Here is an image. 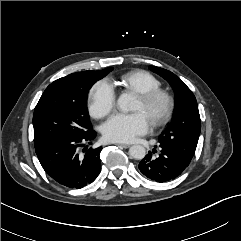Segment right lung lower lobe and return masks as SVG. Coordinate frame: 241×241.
Masks as SVG:
<instances>
[{"label": "right lung lower lobe", "instance_id": "98d812e1", "mask_svg": "<svg viewBox=\"0 0 241 241\" xmlns=\"http://www.w3.org/2000/svg\"><path fill=\"white\" fill-rule=\"evenodd\" d=\"M96 133L91 130L84 136L54 140L36 149L38 159L45 172L56 182L69 188L80 189L92 183L100 173L99 148H89ZM84 147V155L79 150Z\"/></svg>", "mask_w": 241, "mask_h": 241}]
</instances>
